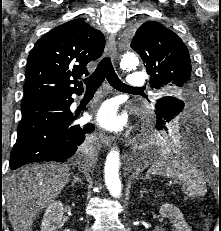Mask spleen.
I'll use <instances>...</instances> for the list:
<instances>
[{
  "label": "spleen",
  "instance_id": "3e777b00",
  "mask_svg": "<svg viewBox=\"0 0 221 231\" xmlns=\"http://www.w3.org/2000/svg\"><path fill=\"white\" fill-rule=\"evenodd\" d=\"M147 174L180 180L183 192L191 197H203L207 193L203 173L185 156L165 155L151 165Z\"/></svg>",
  "mask_w": 221,
  "mask_h": 231
}]
</instances>
